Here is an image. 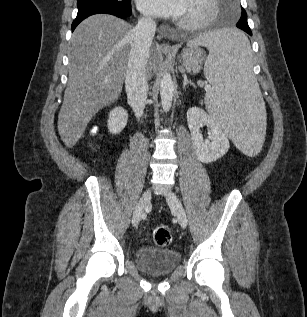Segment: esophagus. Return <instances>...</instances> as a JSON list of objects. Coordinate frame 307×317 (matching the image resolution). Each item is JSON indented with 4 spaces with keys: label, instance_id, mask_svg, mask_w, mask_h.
I'll return each instance as SVG.
<instances>
[{
    "label": "esophagus",
    "instance_id": "obj_1",
    "mask_svg": "<svg viewBox=\"0 0 307 317\" xmlns=\"http://www.w3.org/2000/svg\"><path fill=\"white\" fill-rule=\"evenodd\" d=\"M160 49L162 52L164 53H173V49L171 48V46L167 43H162L160 45Z\"/></svg>",
    "mask_w": 307,
    "mask_h": 317
}]
</instances>
